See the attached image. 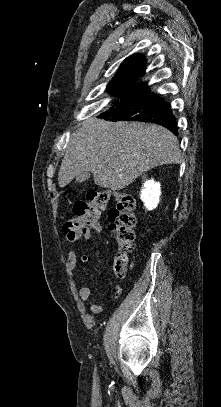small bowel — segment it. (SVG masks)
<instances>
[{
	"label": "small bowel",
	"mask_w": 221,
	"mask_h": 407,
	"mask_svg": "<svg viewBox=\"0 0 221 407\" xmlns=\"http://www.w3.org/2000/svg\"><path fill=\"white\" fill-rule=\"evenodd\" d=\"M102 231V226L99 225L97 232L100 233ZM69 239V238H68ZM90 260L89 255L87 254H82L78 256L74 251H68L67 253V259L65 263V270L70 276V278H73L74 271L77 267L78 263L81 264H86ZM122 293V287L120 285L115 286L113 297L116 299L120 297ZM92 294V288L90 285H84L78 290V297L80 301L84 302L89 299V297ZM106 307V302L105 301H99L97 303H94L91 307V311L94 314L102 312Z\"/></svg>",
	"instance_id": "c3829d8e"
}]
</instances>
